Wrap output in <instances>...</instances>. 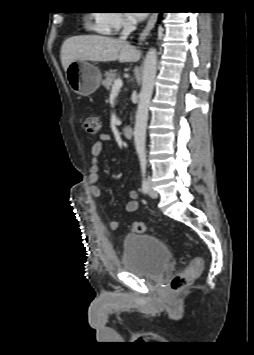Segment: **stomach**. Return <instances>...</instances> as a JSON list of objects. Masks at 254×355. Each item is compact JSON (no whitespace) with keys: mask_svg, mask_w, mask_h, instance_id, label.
I'll return each instance as SVG.
<instances>
[{"mask_svg":"<svg viewBox=\"0 0 254 355\" xmlns=\"http://www.w3.org/2000/svg\"><path fill=\"white\" fill-rule=\"evenodd\" d=\"M66 77L73 92L89 96L100 86L101 72L88 61L76 60L70 63Z\"/></svg>","mask_w":254,"mask_h":355,"instance_id":"1","label":"stomach"}]
</instances>
